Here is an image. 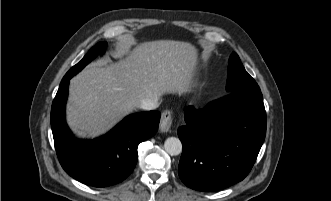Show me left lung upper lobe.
I'll return each mask as SVG.
<instances>
[{"instance_id":"1","label":"left lung upper lobe","mask_w":331,"mask_h":201,"mask_svg":"<svg viewBox=\"0 0 331 201\" xmlns=\"http://www.w3.org/2000/svg\"><path fill=\"white\" fill-rule=\"evenodd\" d=\"M260 89L255 80L246 72L239 56L233 52L229 58L228 79L226 90L228 93L242 90Z\"/></svg>"}]
</instances>
